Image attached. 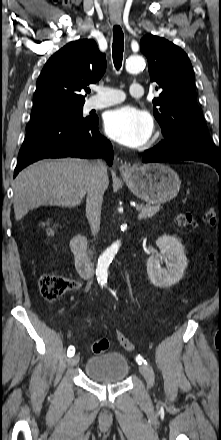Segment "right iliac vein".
Instances as JSON below:
<instances>
[{
    "mask_svg": "<svg viewBox=\"0 0 221 440\" xmlns=\"http://www.w3.org/2000/svg\"><path fill=\"white\" fill-rule=\"evenodd\" d=\"M78 361H79V356L75 355L68 360V365L75 366L78 363Z\"/></svg>",
    "mask_w": 221,
    "mask_h": 440,
    "instance_id": "right-iliac-vein-1",
    "label": "right iliac vein"
}]
</instances>
